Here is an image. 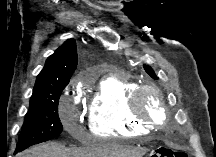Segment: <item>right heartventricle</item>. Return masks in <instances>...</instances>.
<instances>
[{"label": "right heart ventricle", "mask_w": 216, "mask_h": 157, "mask_svg": "<svg viewBox=\"0 0 216 157\" xmlns=\"http://www.w3.org/2000/svg\"><path fill=\"white\" fill-rule=\"evenodd\" d=\"M136 89L137 84L119 73L109 74L99 82L89 105V125L93 135L127 137L152 128L130 110V100Z\"/></svg>", "instance_id": "e07e8e85"}]
</instances>
